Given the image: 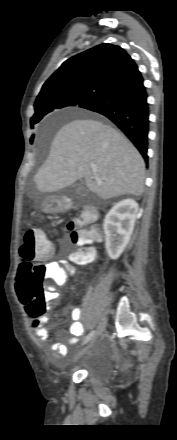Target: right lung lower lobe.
Returning <instances> with one entry per match:
<instances>
[{
  "instance_id": "1",
  "label": "right lung lower lobe",
  "mask_w": 177,
  "mask_h": 440,
  "mask_svg": "<svg viewBox=\"0 0 177 440\" xmlns=\"http://www.w3.org/2000/svg\"><path fill=\"white\" fill-rule=\"evenodd\" d=\"M86 109L100 113L116 124L148 161L149 107L141 74Z\"/></svg>"
}]
</instances>
